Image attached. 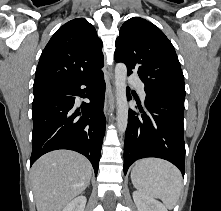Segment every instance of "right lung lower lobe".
Listing matches in <instances>:
<instances>
[{"label": "right lung lower lobe", "mask_w": 221, "mask_h": 211, "mask_svg": "<svg viewBox=\"0 0 221 211\" xmlns=\"http://www.w3.org/2000/svg\"><path fill=\"white\" fill-rule=\"evenodd\" d=\"M104 94L102 71L34 94L30 166L49 151L69 149L86 156L96 175L106 125ZM75 96L90 100L81 106L82 113L75 107Z\"/></svg>", "instance_id": "98d812e1"}]
</instances>
